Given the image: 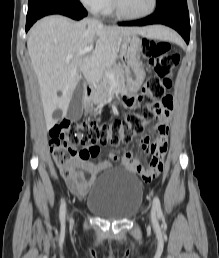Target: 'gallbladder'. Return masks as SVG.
<instances>
[{
  "label": "gallbladder",
  "mask_w": 219,
  "mask_h": 258,
  "mask_svg": "<svg viewBox=\"0 0 219 258\" xmlns=\"http://www.w3.org/2000/svg\"><path fill=\"white\" fill-rule=\"evenodd\" d=\"M84 87L80 82L71 97L66 117L71 121H77L83 114Z\"/></svg>",
  "instance_id": "obj_1"
}]
</instances>
